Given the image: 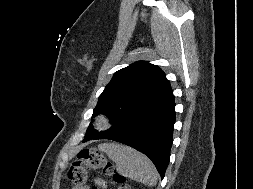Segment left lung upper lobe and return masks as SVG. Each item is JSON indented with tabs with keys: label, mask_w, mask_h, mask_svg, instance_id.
<instances>
[{
	"label": "left lung upper lobe",
	"mask_w": 253,
	"mask_h": 189,
	"mask_svg": "<svg viewBox=\"0 0 253 189\" xmlns=\"http://www.w3.org/2000/svg\"><path fill=\"white\" fill-rule=\"evenodd\" d=\"M164 72L156 65L138 61L117 71L99 96L94 114L105 113L111 118V131L138 112L155 104L171 91ZM97 132L90 125L86 135Z\"/></svg>",
	"instance_id": "1"
}]
</instances>
